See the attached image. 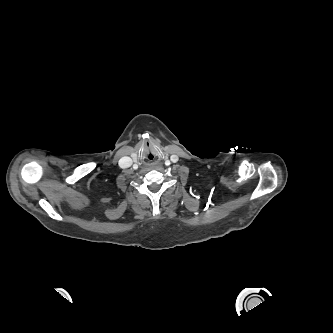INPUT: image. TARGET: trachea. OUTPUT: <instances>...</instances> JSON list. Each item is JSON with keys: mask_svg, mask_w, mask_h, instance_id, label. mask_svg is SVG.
<instances>
[{"mask_svg": "<svg viewBox=\"0 0 333 333\" xmlns=\"http://www.w3.org/2000/svg\"><path fill=\"white\" fill-rule=\"evenodd\" d=\"M149 159H150V160H152V159H153V155H152V154H150V156H149Z\"/></svg>", "mask_w": 333, "mask_h": 333, "instance_id": "3493384b", "label": "trachea"}]
</instances>
